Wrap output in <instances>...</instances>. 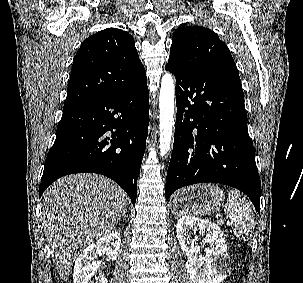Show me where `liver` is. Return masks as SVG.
Here are the masks:
<instances>
[{
	"mask_svg": "<svg viewBox=\"0 0 303 283\" xmlns=\"http://www.w3.org/2000/svg\"><path fill=\"white\" fill-rule=\"evenodd\" d=\"M127 206L126 193L97 174H74L54 182L42 196L44 234L60 277L67 281L79 253L109 234Z\"/></svg>",
	"mask_w": 303,
	"mask_h": 283,
	"instance_id": "1",
	"label": "liver"
}]
</instances>
